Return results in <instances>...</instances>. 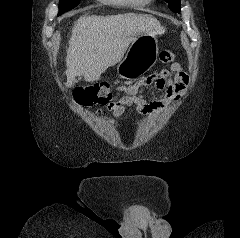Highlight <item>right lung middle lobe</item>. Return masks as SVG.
<instances>
[{"label": "right lung middle lobe", "instance_id": "dd1d6c3e", "mask_svg": "<svg viewBox=\"0 0 240 238\" xmlns=\"http://www.w3.org/2000/svg\"><path fill=\"white\" fill-rule=\"evenodd\" d=\"M79 1L80 0H60L58 16L63 12L76 7L79 4Z\"/></svg>", "mask_w": 240, "mask_h": 238}]
</instances>
